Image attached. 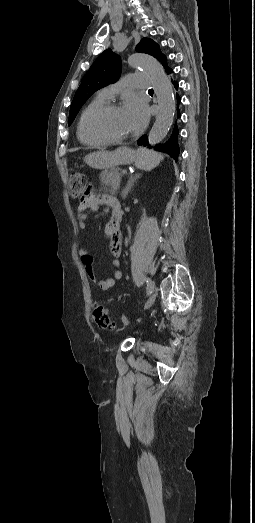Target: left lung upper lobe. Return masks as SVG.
I'll return each mask as SVG.
<instances>
[{
  "instance_id": "1",
  "label": "left lung upper lobe",
  "mask_w": 255,
  "mask_h": 523,
  "mask_svg": "<svg viewBox=\"0 0 255 523\" xmlns=\"http://www.w3.org/2000/svg\"><path fill=\"white\" fill-rule=\"evenodd\" d=\"M137 51L147 53L157 58L163 64L167 74L172 72L166 64V57L161 53L160 47L152 39L143 38L137 45ZM121 73V60L118 55L112 52L111 49L105 50L93 63L89 71L84 76L75 96L72 100L69 112L68 125H70L82 105L88 98L97 90L114 83L118 80ZM177 97H179L177 95ZM178 116V108H177ZM142 137H147L146 135ZM171 137H178V135H171ZM148 141V140H147ZM178 141V140H177ZM148 145V144H147ZM165 143L162 145L164 147ZM146 146V145H145ZM156 150L157 147H154ZM179 149V144H178ZM180 152V149H179ZM178 152V153H179ZM170 155V153H168Z\"/></svg>"
}]
</instances>
